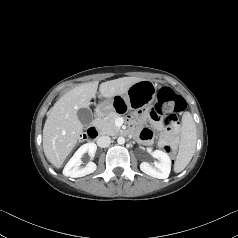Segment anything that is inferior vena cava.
Here are the masks:
<instances>
[{
    "label": "inferior vena cava",
    "mask_w": 238,
    "mask_h": 238,
    "mask_svg": "<svg viewBox=\"0 0 238 238\" xmlns=\"http://www.w3.org/2000/svg\"><path fill=\"white\" fill-rule=\"evenodd\" d=\"M111 143V139L109 136H100L97 139V145L101 148L108 147Z\"/></svg>",
    "instance_id": "602c4592"
}]
</instances>
